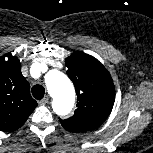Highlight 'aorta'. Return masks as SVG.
<instances>
[{"instance_id": "obj_1", "label": "aorta", "mask_w": 153, "mask_h": 153, "mask_svg": "<svg viewBox=\"0 0 153 153\" xmlns=\"http://www.w3.org/2000/svg\"><path fill=\"white\" fill-rule=\"evenodd\" d=\"M45 83L53 97V109L59 115L68 114L74 105L75 92L71 81L62 72L51 70L45 76Z\"/></svg>"}]
</instances>
